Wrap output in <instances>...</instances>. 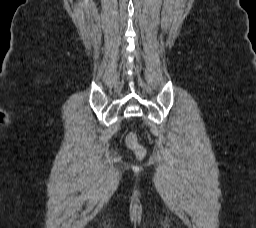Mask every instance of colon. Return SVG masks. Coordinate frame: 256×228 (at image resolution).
<instances>
[{"label":"colon","instance_id":"5ec220e1","mask_svg":"<svg viewBox=\"0 0 256 228\" xmlns=\"http://www.w3.org/2000/svg\"><path fill=\"white\" fill-rule=\"evenodd\" d=\"M127 146L137 155L138 158H143L146 154V150L138 140V134L136 132H130L126 137Z\"/></svg>","mask_w":256,"mask_h":228}]
</instances>
